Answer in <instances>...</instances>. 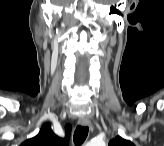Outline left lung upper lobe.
Listing matches in <instances>:
<instances>
[{
	"mask_svg": "<svg viewBox=\"0 0 164 146\" xmlns=\"http://www.w3.org/2000/svg\"><path fill=\"white\" fill-rule=\"evenodd\" d=\"M109 146H134V145L130 141L125 140L120 136H116L114 139H112L109 142Z\"/></svg>",
	"mask_w": 164,
	"mask_h": 146,
	"instance_id": "left-lung-upper-lobe-1",
	"label": "left lung upper lobe"
}]
</instances>
